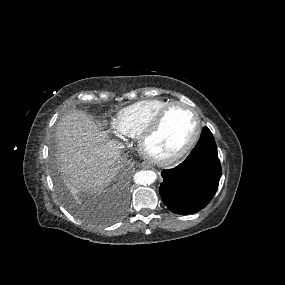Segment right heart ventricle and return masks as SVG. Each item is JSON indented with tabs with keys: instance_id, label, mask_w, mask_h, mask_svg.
Masks as SVG:
<instances>
[{
	"instance_id": "e07e8e85",
	"label": "right heart ventricle",
	"mask_w": 285,
	"mask_h": 285,
	"mask_svg": "<svg viewBox=\"0 0 285 285\" xmlns=\"http://www.w3.org/2000/svg\"><path fill=\"white\" fill-rule=\"evenodd\" d=\"M171 103L159 98L138 101L121 109L116 121L125 133L139 137L147 125Z\"/></svg>"
}]
</instances>
